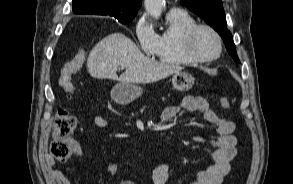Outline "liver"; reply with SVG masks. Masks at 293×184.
<instances>
[{
	"label": "liver",
	"instance_id": "liver-1",
	"mask_svg": "<svg viewBox=\"0 0 293 184\" xmlns=\"http://www.w3.org/2000/svg\"><path fill=\"white\" fill-rule=\"evenodd\" d=\"M119 66L126 68L120 77L116 73ZM87 70L96 79L152 83L180 72L182 67L155 61L141 53L135 43L124 34L112 33L90 51Z\"/></svg>",
	"mask_w": 293,
	"mask_h": 184
}]
</instances>
